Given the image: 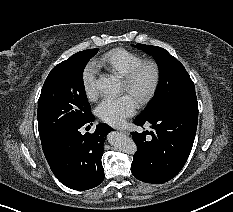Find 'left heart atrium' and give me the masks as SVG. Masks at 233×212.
Instances as JSON below:
<instances>
[{"mask_svg": "<svg viewBox=\"0 0 233 212\" xmlns=\"http://www.w3.org/2000/svg\"><path fill=\"white\" fill-rule=\"evenodd\" d=\"M137 108L136 100L129 94L119 97H106L96 108L98 117L113 126H120L132 116Z\"/></svg>", "mask_w": 233, "mask_h": 212, "instance_id": "left-heart-atrium-1", "label": "left heart atrium"}]
</instances>
